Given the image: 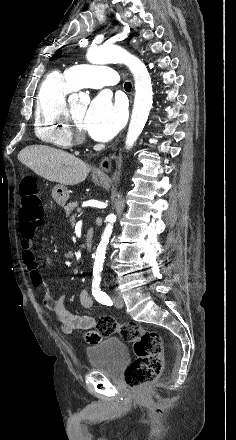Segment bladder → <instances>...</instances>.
Segmentation results:
<instances>
[{"label": "bladder", "instance_id": "1", "mask_svg": "<svg viewBox=\"0 0 236 440\" xmlns=\"http://www.w3.org/2000/svg\"><path fill=\"white\" fill-rule=\"evenodd\" d=\"M90 369L108 376H117L129 360L127 345L117 338H106L86 349Z\"/></svg>", "mask_w": 236, "mask_h": 440}]
</instances>
